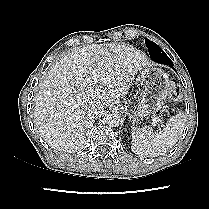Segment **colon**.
<instances>
[{"label":"colon","mask_w":209,"mask_h":209,"mask_svg":"<svg viewBox=\"0 0 209 209\" xmlns=\"http://www.w3.org/2000/svg\"><path fill=\"white\" fill-rule=\"evenodd\" d=\"M169 98L172 102H176L181 98V90L177 87H174L169 94Z\"/></svg>","instance_id":"1"}]
</instances>
